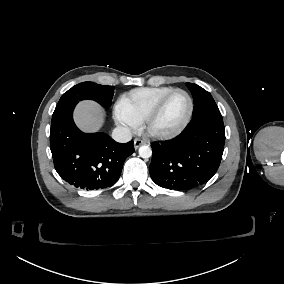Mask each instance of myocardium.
Returning a JSON list of instances; mask_svg holds the SVG:
<instances>
[{
  "label": "myocardium",
  "mask_w": 284,
  "mask_h": 284,
  "mask_svg": "<svg viewBox=\"0 0 284 284\" xmlns=\"http://www.w3.org/2000/svg\"><path fill=\"white\" fill-rule=\"evenodd\" d=\"M181 91L183 92L189 101V110H188V114L185 118V120L183 121V123L174 131L169 132V133H156L151 129V123L153 121V119L160 113V111L162 110L166 100L175 92ZM194 113V101L192 96L190 95V93L183 89V88H174L173 90L169 91L168 93L164 94L156 103L155 105H153L149 111L146 113V115L144 116V118L142 119L141 126L142 129L144 130V132L146 133L147 136L157 139V140H170L173 139L175 137H177L178 135H180L185 128L188 126V124L190 123L192 116Z\"/></svg>",
  "instance_id": "obj_1"
}]
</instances>
